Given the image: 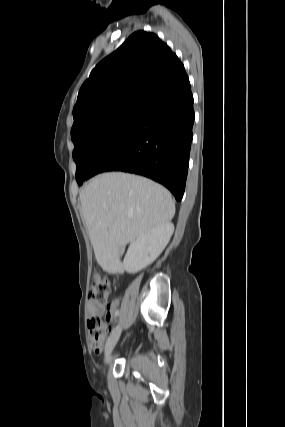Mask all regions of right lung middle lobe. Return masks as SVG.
<instances>
[{
	"instance_id": "right-lung-middle-lobe-1",
	"label": "right lung middle lobe",
	"mask_w": 285,
	"mask_h": 427,
	"mask_svg": "<svg viewBox=\"0 0 285 427\" xmlns=\"http://www.w3.org/2000/svg\"><path fill=\"white\" fill-rule=\"evenodd\" d=\"M144 105H132L93 120L71 133L74 143L76 180L79 185L122 139L143 110Z\"/></svg>"
}]
</instances>
